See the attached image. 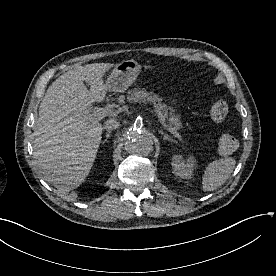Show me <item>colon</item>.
Wrapping results in <instances>:
<instances>
[{"label": "colon", "mask_w": 276, "mask_h": 276, "mask_svg": "<svg viewBox=\"0 0 276 276\" xmlns=\"http://www.w3.org/2000/svg\"><path fill=\"white\" fill-rule=\"evenodd\" d=\"M230 107L227 101L217 99L210 106V116L216 122L223 121L229 114ZM238 148L237 139L228 133H224L218 140V151L220 154L228 156L233 154Z\"/></svg>", "instance_id": "1"}]
</instances>
